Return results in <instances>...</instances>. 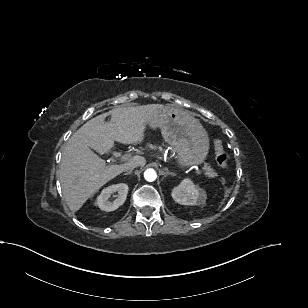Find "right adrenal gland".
Returning a JSON list of instances; mask_svg holds the SVG:
<instances>
[{
    "instance_id": "obj_1",
    "label": "right adrenal gland",
    "mask_w": 308,
    "mask_h": 308,
    "mask_svg": "<svg viewBox=\"0 0 308 308\" xmlns=\"http://www.w3.org/2000/svg\"><path fill=\"white\" fill-rule=\"evenodd\" d=\"M131 173H132V171H128V172L124 173V175H129Z\"/></svg>"
}]
</instances>
